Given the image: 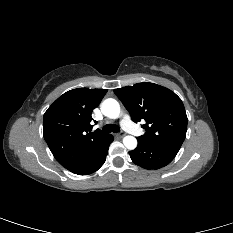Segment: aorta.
<instances>
[{"label":"aorta","mask_w":233,"mask_h":233,"mask_svg":"<svg viewBox=\"0 0 233 233\" xmlns=\"http://www.w3.org/2000/svg\"><path fill=\"white\" fill-rule=\"evenodd\" d=\"M101 111L106 117L117 119L120 115V105L115 99L108 98L102 102ZM123 144L127 149L134 150L137 147V139L130 135L125 136Z\"/></svg>","instance_id":"aorta-1"}]
</instances>
